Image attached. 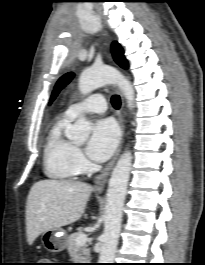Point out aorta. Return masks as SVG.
Segmentation results:
<instances>
[{
    "label": "aorta",
    "instance_id": "762f6f07",
    "mask_svg": "<svg viewBox=\"0 0 205 265\" xmlns=\"http://www.w3.org/2000/svg\"><path fill=\"white\" fill-rule=\"evenodd\" d=\"M107 84L118 85L127 100L128 108L133 109L135 93L131 82L111 66L102 65L84 70L78 85L80 92L86 95ZM89 133V122L80 117L69 130L67 137L75 141H86ZM131 164L132 154L126 150L117 161L109 180L99 263H113L115 258Z\"/></svg>",
    "mask_w": 205,
    "mask_h": 265
}]
</instances>
